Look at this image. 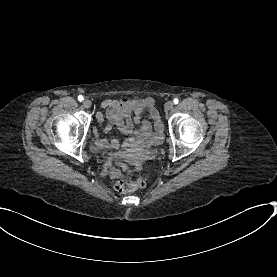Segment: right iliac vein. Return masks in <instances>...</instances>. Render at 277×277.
<instances>
[{
    "label": "right iliac vein",
    "mask_w": 277,
    "mask_h": 277,
    "mask_svg": "<svg viewBox=\"0 0 277 277\" xmlns=\"http://www.w3.org/2000/svg\"><path fill=\"white\" fill-rule=\"evenodd\" d=\"M83 106H84L85 108H90V107H91V101L88 100V99H85V100L83 101Z\"/></svg>",
    "instance_id": "obj_1"
}]
</instances>
